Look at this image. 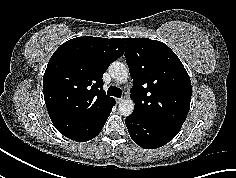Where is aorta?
I'll use <instances>...</instances> for the list:
<instances>
[{"label": "aorta", "mask_w": 236, "mask_h": 178, "mask_svg": "<svg viewBox=\"0 0 236 178\" xmlns=\"http://www.w3.org/2000/svg\"><path fill=\"white\" fill-rule=\"evenodd\" d=\"M109 72L111 76L119 81V82H125L128 77V68L125 64L115 61L113 62L109 67ZM134 110V102L131 99H123L120 101L118 105V111L123 116H129L133 113Z\"/></svg>", "instance_id": "1"}]
</instances>
